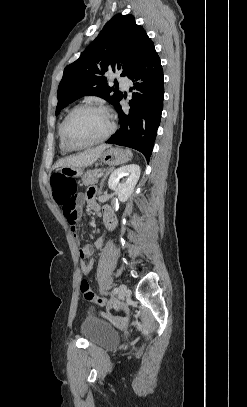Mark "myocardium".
<instances>
[{
  "instance_id": "myocardium-1",
  "label": "myocardium",
  "mask_w": 247,
  "mask_h": 407,
  "mask_svg": "<svg viewBox=\"0 0 247 407\" xmlns=\"http://www.w3.org/2000/svg\"><path fill=\"white\" fill-rule=\"evenodd\" d=\"M81 110H98L103 112L108 120H109V128L107 130V132L101 136L100 138L85 143V144H74L71 141H69V139L67 138L66 135V130H67V125L70 121V119L79 111ZM115 131V123L113 120V117L111 115V113L107 110V108H105L102 105H98V104H90V103H86V104H81L78 105L76 107H74L64 118L63 122H62V127H61V139L63 144L70 150H80V149H84V148H88L94 145H97L99 143L104 142L105 140H107Z\"/></svg>"
}]
</instances>
